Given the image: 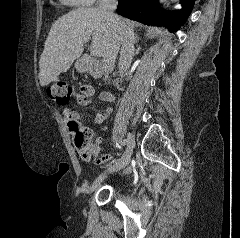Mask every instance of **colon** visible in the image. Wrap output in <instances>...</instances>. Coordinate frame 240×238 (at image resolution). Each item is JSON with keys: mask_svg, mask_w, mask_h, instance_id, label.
<instances>
[{"mask_svg": "<svg viewBox=\"0 0 240 238\" xmlns=\"http://www.w3.org/2000/svg\"><path fill=\"white\" fill-rule=\"evenodd\" d=\"M47 94L58 104H64L71 96L72 88L66 83H54L47 87ZM68 125L73 134L75 146L83 153L84 157H91L95 146V144L91 143V130L81 128L80 124L74 120L70 121Z\"/></svg>", "mask_w": 240, "mask_h": 238, "instance_id": "colon-1", "label": "colon"}]
</instances>
